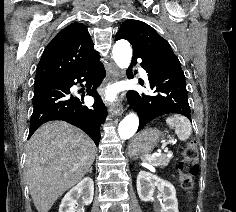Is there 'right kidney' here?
<instances>
[{
    "instance_id": "1",
    "label": "right kidney",
    "mask_w": 236,
    "mask_h": 212,
    "mask_svg": "<svg viewBox=\"0 0 236 212\" xmlns=\"http://www.w3.org/2000/svg\"><path fill=\"white\" fill-rule=\"evenodd\" d=\"M93 195L94 182L90 177H85L66 193L59 206V212H85L84 208L77 209V199L82 196L83 204L89 205L93 201Z\"/></svg>"
}]
</instances>
